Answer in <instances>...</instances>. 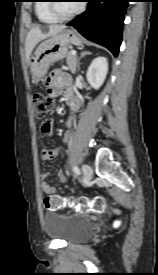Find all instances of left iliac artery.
Wrapping results in <instances>:
<instances>
[{"label": "left iliac artery", "instance_id": "44dca946", "mask_svg": "<svg viewBox=\"0 0 158 275\" xmlns=\"http://www.w3.org/2000/svg\"><path fill=\"white\" fill-rule=\"evenodd\" d=\"M73 172H74L75 174H77V175L80 174V170H79V168H78L77 166H73Z\"/></svg>", "mask_w": 158, "mask_h": 275}]
</instances>
